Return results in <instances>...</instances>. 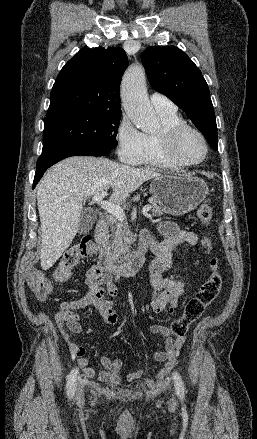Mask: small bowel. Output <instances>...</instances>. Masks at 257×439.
<instances>
[{"instance_id":"obj_1","label":"small bowel","mask_w":257,"mask_h":439,"mask_svg":"<svg viewBox=\"0 0 257 439\" xmlns=\"http://www.w3.org/2000/svg\"><path fill=\"white\" fill-rule=\"evenodd\" d=\"M159 231L165 237L164 241H157L149 231H143L140 234V239L146 240L156 254V258L149 267V281L152 288L150 307L154 313L165 311L167 314L173 315L178 306V299L184 292L185 284L182 281L164 277L163 273L169 267L178 247L183 243L195 245L197 236L192 232L181 231L176 224L171 222L161 223ZM86 284L88 292L79 299L62 301L59 311L54 317L59 327H64L71 333L82 331L81 318L76 311L88 306L96 308L106 324L113 326L118 323V316L112 300L117 293V286L112 277L97 267H92L86 273ZM150 332L160 334L165 338L164 350L156 351L154 358L164 363L166 371H168L175 365L180 350L186 342V336L173 339L165 325H152ZM65 340L71 356L77 360L78 365L88 378L101 382L119 383L122 380L134 381L143 375L142 369H130L123 373V361L107 356L100 357L99 362L102 370L97 372L89 366V361L85 357V348L67 338Z\"/></svg>"}]
</instances>
